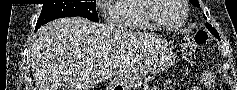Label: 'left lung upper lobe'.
I'll return each instance as SVG.
<instances>
[{
	"mask_svg": "<svg viewBox=\"0 0 237 90\" xmlns=\"http://www.w3.org/2000/svg\"><path fill=\"white\" fill-rule=\"evenodd\" d=\"M189 1H190V3L193 4L194 6H196V7H198V8L200 7V6H199V3H198V0H189ZM204 18L206 19L205 15H204ZM206 27H207V29H208L217 39L220 40L219 35H218L216 29H214V28H213L210 24H208V23H206Z\"/></svg>",
	"mask_w": 237,
	"mask_h": 90,
	"instance_id": "5c2ea615",
	"label": "left lung upper lobe"
}]
</instances>
